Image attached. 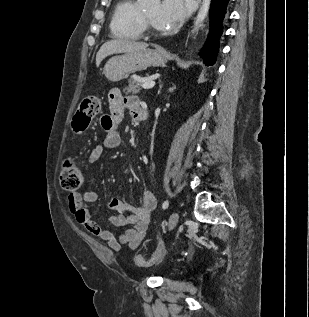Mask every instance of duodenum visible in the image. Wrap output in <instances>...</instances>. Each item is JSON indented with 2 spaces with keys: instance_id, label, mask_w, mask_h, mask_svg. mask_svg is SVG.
<instances>
[{
  "instance_id": "410a0bca",
  "label": "duodenum",
  "mask_w": 309,
  "mask_h": 317,
  "mask_svg": "<svg viewBox=\"0 0 309 317\" xmlns=\"http://www.w3.org/2000/svg\"><path fill=\"white\" fill-rule=\"evenodd\" d=\"M146 117H147L146 111L143 108H141L139 112V116H138L139 120H145Z\"/></svg>"
}]
</instances>
